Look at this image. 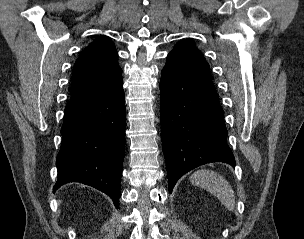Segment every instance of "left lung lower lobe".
<instances>
[{
	"mask_svg": "<svg viewBox=\"0 0 304 239\" xmlns=\"http://www.w3.org/2000/svg\"><path fill=\"white\" fill-rule=\"evenodd\" d=\"M161 132L171 193L180 177L210 162L235 165L212 79L168 54L161 71Z\"/></svg>",
	"mask_w": 304,
	"mask_h": 239,
	"instance_id": "obj_1",
	"label": "left lung lower lobe"
}]
</instances>
